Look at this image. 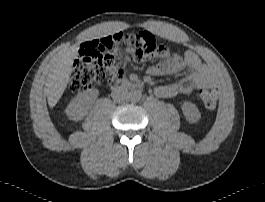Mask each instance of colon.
I'll return each instance as SVG.
<instances>
[{"label": "colon", "mask_w": 265, "mask_h": 202, "mask_svg": "<svg viewBox=\"0 0 265 202\" xmlns=\"http://www.w3.org/2000/svg\"><path fill=\"white\" fill-rule=\"evenodd\" d=\"M99 53L75 59L69 87L76 94L107 79L123 76V56L121 51L128 50L134 59L145 61L153 59L166 51L149 35L119 32L99 39ZM105 53V54H101ZM219 91L216 87H205L199 91V99L206 109L217 105Z\"/></svg>", "instance_id": "colon-1"}]
</instances>
